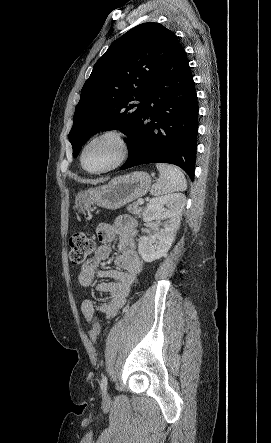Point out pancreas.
Wrapping results in <instances>:
<instances>
[{"label":"pancreas","mask_w":271,"mask_h":443,"mask_svg":"<svg viewBox=\"0 0 271 443\" xmlns=\"http://www.w3.org/2000/svg\"><path fill=\"white\" fill-rule=\"evenodd\" d=\"M141 204H138V202H134V204H130L128 208H126L127 212H130V214H135V216H138V218H141V212L143 208H140Z\"/></svg>","instance_id":"pancreas-1"}]
</instances>
